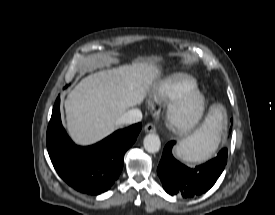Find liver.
<instances>
[{"label":"liver","instance_id":"6515ba94","mask_svg":"<svg viewBox=\"0 0 275 215\" xmlns=\"http://www.w3.org/2000/svg\"><path fill=\"white\" fill-rule=\"evenodd\" d=\"M159 76L155 62L145 60L88 75L64 103L69 135L81 145L108 136L129 108L143 102Z\"/></svg>","mask_w":275,"mask_h":215}]
</instances>
